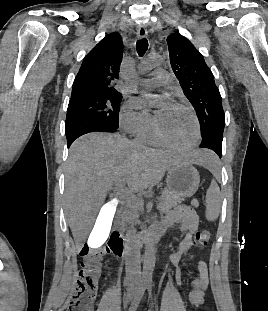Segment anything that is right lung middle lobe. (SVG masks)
<instances>
[{
    "label": "right lung middle lobe",
    "mask_w": 268,
    "mask_h": 311,
    "mask_svg": "<svg viewBox=\"0 0 268 311\" xmlns=\"http://www.w3.org/2000/svg\"><path fill=\"white\" fill-rule=\"evenodd\" d=\"M122 94L104 92H72L65 128L79 121H94L109 128H118Z\"/></svg>",
    "instance_id": "right-lung-middle-lobe-1"
}]
</instances>
